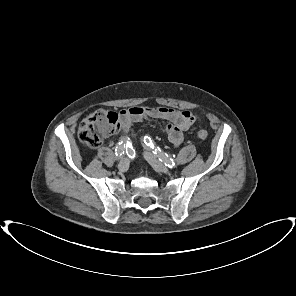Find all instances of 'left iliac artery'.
<instances>
[{"label": "left iliac artery", "instance_id": "1", "mask_svg": "<svg viewBox=\"0 0 296 296\" xmlns=\"http://www.w3.org/2000/svg\"><path fill=\"white\" fill-rule=\"evenodd\" d=\"M144 143L148 148L152 150V152L159 157L161 162L170 168L175 167V162L172 158H170L166 153H164L159 147L155 145V143L151 140L150 137H144Z\"/></svg>", "mask_w": 296, "mask_h": 296}]
</instances>
